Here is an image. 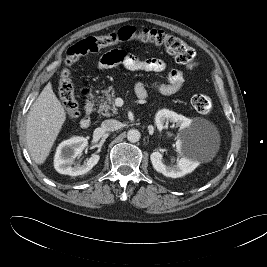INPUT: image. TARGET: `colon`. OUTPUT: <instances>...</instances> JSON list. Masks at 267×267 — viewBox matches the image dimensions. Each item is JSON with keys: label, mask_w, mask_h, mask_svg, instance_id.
Returning <instances> with one entry per match:
<instances>
[{"label": "colon", "mask_w": 267, "mask_h": 267, "mask_svg": "<svg viewBox=\"0 0 267 267\" xmlns=\"http://www.w3.org/2000/svg\"><path fill=\"white\" fill-rule=\"evenodd\" d=\"M128 41H138L162 48L172 55L178 63L189 69L196 65L194 49L183 40L162 30L145 29L137 31L131 26H125L107 35L86 37L67 49L64 67L59 76V96L69 119H76L79 115L69 67L83 55L98 52L100 49L116 43ZM192 105L197 112L206 114L212 109V100L206 94H196L192 97Z\"/></svg>", "instance_id": "colon-1"}]
</instances>
